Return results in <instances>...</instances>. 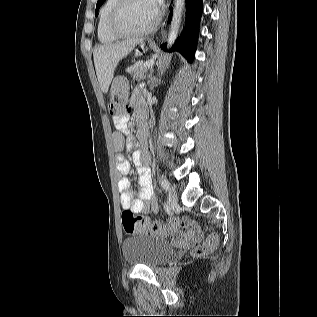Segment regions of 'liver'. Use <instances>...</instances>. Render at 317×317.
<instances>
[{"instance_id": "obj_1", "label": "liver", "mask_w": 317, "mask_h": 317, "mask_svg": "<svg viewBox=\"0 0 317 317\" xmlns=\"http://www.w3.org/2000/svg\"><path fill=\"white\" fill-rule=\"evenodd\" d=\"M141 40H127L113 44L98 45L93 52L98 82L103 93H107L114 71L121 59L140 43Z\"/></svg>"}]
</instances>
